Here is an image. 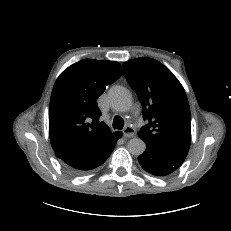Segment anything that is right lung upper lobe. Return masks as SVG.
<instances>
[{"label": "right lung upper lobe", "mask_w": 231, "mask_h": 231, "mask_svg": "<svg viewBox=\"0 0 231 231\" xmlns=\"http://www.w3.org/2000/svg\"><path fill=\"white\" fill-rule=\"evenodd\" d=\"M122 75L118 62L84 59L57 78L50 99L49 136L56 155L97 148L111 133L97 106L106 86Z\"/></svg>", "instance_id": "right-lung-upper-lobe-1"}]
</instances>
